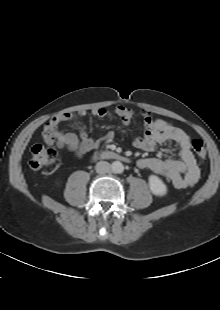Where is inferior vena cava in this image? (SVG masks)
<instances>
[{
    "mask_svg": "<svg viewBox=\"0 0 220 310\" xmlns=\"http://www.w3.org/2000/svg\"><path fill=\"white\" fill-rule=\"evenodd\" d=\"M95 170L98 174H106L111 172V165L106 161H100L96 164Z\"/></svg>",
    "mask_w": 220,
    "mask_h": 310,
    "instance_id": "inferior-vena-cava-1",
    "label": "inferior vena cava"
}]
</instances>
